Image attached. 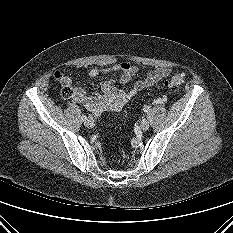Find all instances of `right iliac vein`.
I'll list each match as a JSON object with an SVG mask.
<instances>
[{
	"label": "right iliac vein",
	"instance_id": "1",
	"mask_svg": "<svg viewBox=\"0 0 233 233\" xmlns=\"http://www.w3.org/2000/svg\"><path fill=\"white\" fill-rule=\"evenodd\" d=\"M84 124H85L86 127H93V125H94V120H93L92 118L89 117V118H87V119L85 120Z\"/></svg>",
	"mask_w": 233,
	"mask_h": 233
}]
</instances>
